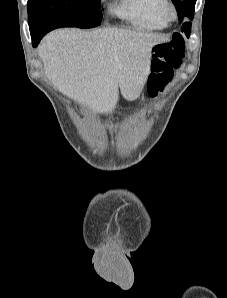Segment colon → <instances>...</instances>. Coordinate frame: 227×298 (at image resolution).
<instances>
[{"instance_id": "1", "label": "colon", "mask_w": 227, "mask_h": 298, "mask_svg": "<svg viewBox=\"0 0 227 298\" xmlns=\"http://www.w3.org/2000/svg\"><path fill=\"white\" fill-rule=\"evenodd\" d=\"M184 57L185 43L178 34L154 46L152 61L154 73L148 83V91L151 95H157L171 81L174 71L182 65Z\"/></svg>"}]
</instances>
